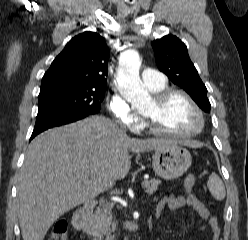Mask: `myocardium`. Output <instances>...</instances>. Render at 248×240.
<instances>
[{
	"instance_id": "f54148a6",
	"label": "myocardium",
	"mask_w": 248,
	"mask_h": 240,
	"mask_svg": "<svg viewBox=\"0 0 248 240\" xmlns=\"http://www.w3.org/2000/svg\"><path fill=\"white\" fill-rule=\"evenodd\" d=\"M175 95H180L189 102V104L192 106V108L194 109V111L196 112L199 118V126L190 132H173L158 128L154 124L151 118L144 116L147 129L155 135L162 137H170V138H191L199 135L204 130L205 127V123H206L205 116L200 106L197 104V102L193 99V97L189 93H187L182 89L164 88L158 92H154L153 98L154 101L156 102V105L158 107H162L171 97Z\"/></svg>"
}]
</instances>
